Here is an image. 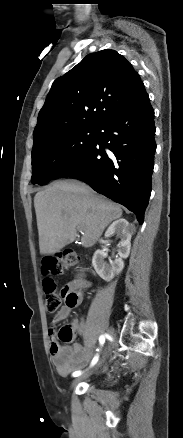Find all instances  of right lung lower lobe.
<instances>
[{"label": "right lung lower lobe", "mask_w": 183, "mask_h": 438, "mask_svg": "<svg viewBox=\"0 0 183 438\" xmlns=\"http://www.w3.org/2000/svg\"><path fill=\"white\" fill-rule=\"evenodd\" d=\"M154 110L146 94L104 120L94 141L56 176L73 177L124 205L140 224L151 193L156 143Z\"/></svg>", "instance_id": "right-lung-lower-lobe-1"}]
</instances>
